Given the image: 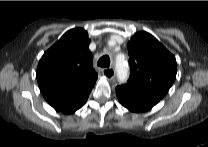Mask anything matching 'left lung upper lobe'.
<instances>
[{"instance_id": "left-lung-upper-lobe-1", "label": "left lung upper lobe", "mask_w": 208, "mask_h": 147, "mask_svg": "<svg viewBox=\"0 0 208 147\" xmlns=\"http://www.w3.org/2000/svg\"><path fill=\"white\" fill-rule=\"evenodd\" d=\"M127 48L130 77L126 86L162 99L176 77L175 57L147 32L136 33Z\"/></svg>"}]
</instances>
